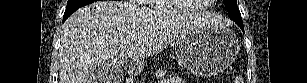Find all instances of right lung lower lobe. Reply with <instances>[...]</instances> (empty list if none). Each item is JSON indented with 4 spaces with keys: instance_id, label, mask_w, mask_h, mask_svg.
Masks as SVG:
<instances>
[{
    "instance_id": "right-lung-lower-lobe-1",
    "label": "right lung lower lobe",
    "mask_w": 307,
    "mask_h": 83,
    "mask_svg": "<svg viewBox=\"0 0 307 83\" xmlns=\"http://www.w3.org/2000/svg\"><path fill=\"white\" fill-rule=\"evenodd\" d=\"M76 10H72V11H69V12H65L64 13V16H63V22L73 13L75 12Z\"/></svg>"
}]
</instances>
